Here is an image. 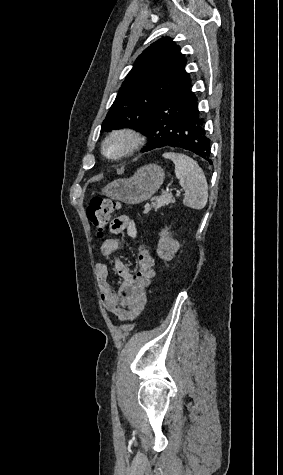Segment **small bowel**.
I'll return each instance as SVG.
<instances>
[{
	"label": "small bowel",
	"mask_w": 283,
	"mask_h": 475,
	"mask_svg": "<svg viewBox=\"0 0 283 475\" xmlns=\"http://www.w3.org/2000/svg\"><path fill=\"white\" fill-rule=\"evenodd\" d=\"M104 230L110 237L101 247V254L104 257H109L121 249L122 242L113 238L118 235V232H126L127 236L131 239L137 236L135 223L126 215L115 218L112 223H106ZM113 267L115 272L122 279V284L117 290L113 288L108 280L107 265L103 262H98L95 265V276L102 303L104 308L108 312L113 313L120 322H131L145 309L148 301L146 289L151 283H145L143 291H135L134 288L130 286L133 274L129 272L127 266L119 258H114ZM155 276H153V279Z\"/></svg>",
	"instance_id": "c3829d8e"
}]
</instances>
